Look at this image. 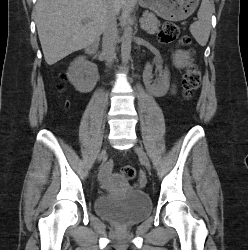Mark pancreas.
Wrapping results in <instances>:
<instances>
[{
	"mask_svg": "<svg viewBox=\"0 0 248 250\" xmlns=\"http://www.w3.org/2000/svg\"><path fill=\"white\" fill-rule=\"evenodd\" d=\"M144 22L141 24V28L148 34H155L158 32V27L160 26V21L156 18L153 13L143 14Z\"/></svg>",
	"mask_w": 248,
	"mask_h": 250,
	"instance_id": "cf45deb5",
	"label": "pancreas"
}]
</instances>
